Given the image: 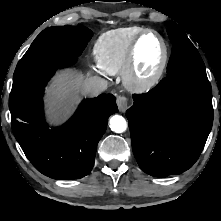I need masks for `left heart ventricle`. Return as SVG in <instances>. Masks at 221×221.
<instances>
[{"label":"left heart ventricle","instance_id":"left-heart-ventricle-1","mask_svg":"<svg viewBox=\"0 0 221 221\" xmlns=\"http://www.w3.org/2000/svg\"><path fill=\"white\" fill-rule=\"evenodd\" d=\"M163 54L161 41L148 34L140 41L136 55V74L140 79L150 77L158 68Z\"/></svg>","mask_w":221,"mask_h":221}]
</instances>
